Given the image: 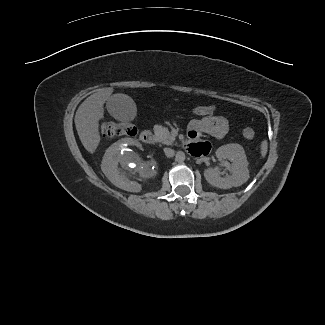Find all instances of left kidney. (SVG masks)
<instances>
[{"label":"left kidney","instance_id":"1","mask_svg":"<svg viewBox=\"0 0 325 325\" xmlns=\"http://www.w3.org/2000/svg\"><path fill=\"white\" fill-rule=\"evenodd\" d=\"M216 157L221 163H226V160L231 162V175L221 177L218 167L208 168L204 171V177L209 184L221 189H230L248 181V161L241 145L232 143L221 146L216 151Z\"/></svg>","mask_w":325,"mask_h":325}]
</instances>
